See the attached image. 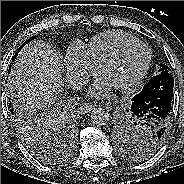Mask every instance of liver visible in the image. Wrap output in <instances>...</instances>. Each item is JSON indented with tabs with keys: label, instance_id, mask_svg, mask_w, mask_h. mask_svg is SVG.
Masks as SVG:
<instances>
[{
	"label": "liver",
	"instance_id": "1",
	"mask_svg": "<svg viewBox=\"0 0 184 184\" xmlns=\"http://www.w3.org/2000/svg\"><path fill=\"white\" fill-rule=\"evenodd\" d=\"M63 65L56 49L41 40L24 47L14 62L9 80L11 95L27 107H51L62 91Z\"/></svg>",
	"mask_w": 184,
	"mask_h": 184
}]
</instances>
